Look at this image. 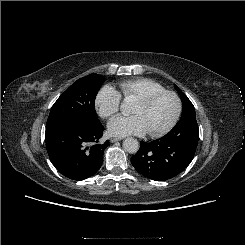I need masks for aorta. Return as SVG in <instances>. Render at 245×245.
<instances>
[{"label":"aorta","instance_id":"aorta-1","mask_svg":"<svg viewBox=\"0 0 245 245\" xmlns=\"http://www.w3.org/2000/svg\"><path fill=\"white\" fill-rule=\"evenodd\" d=\"M123 148L126 152L134 154L139 150V142L135 138L128 137L123 141Z\"/></svg>","mask_w":245,"mask_h":245}]
</instances>
